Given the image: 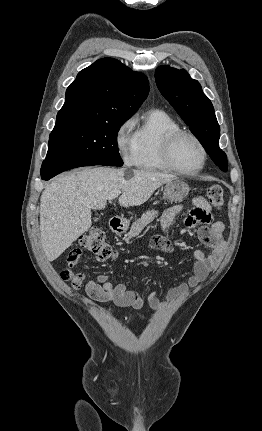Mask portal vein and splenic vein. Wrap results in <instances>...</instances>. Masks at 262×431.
Segmentation results:
<instances>
[{
  "label": "portal vein and splenic vein",
  "mask_w": 262,
  "mask_h": 431,
  "mask_svg": "<svg viewBox=\"0 0 262 431\" xmlns=\"http://www.w3.org/2000/svg\"><path fill=\"white\" fill-rule=\"evenodd\" d=\"M120 194H121V191H120V190H115V191L111 192V193L106 197V199H107V200H113V199H115L116 197H118Z\"/></svg>",
  "instance_id": "1"
}]
</instances>
